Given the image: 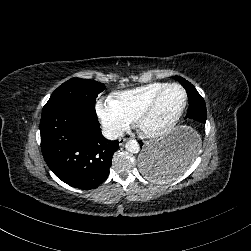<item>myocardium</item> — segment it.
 I'll return each instance as SVG.
<instances>
[{
    "instance_id": "f54148a6",
    "label": "myocardium",
    "mask_w": 251,
    "mask_h": 251,
    "mask_svg": "<svg viewBox=\"0 0 251 251\" xmlns=\"http://www.w3.org/2000/svg\"><path fill=\"white\" fill-rule=\"evenodd\" d=\"M169 88H178L182 90L185 94V103L178 118L174 122L150 132L151 135L156 136V137L166 136L169 133L176 130L180 126V124L183 122L184 117L189 107L190 96H189L188 90L179 83H167L162 89H160L155 94V96L138 113V120L140 124L143 125L144 119L153 112V110L159 103L161 97Z\"/></svg>"
}]
</instances>
